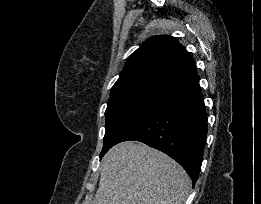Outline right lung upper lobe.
Listing matches in <instances>:
<instances>
[{"mask_svg": "<svg viewBox=\"0 0 261 204\" xmlns=\"http://www.w3.org/2000/svg\"><path fill=\"white\" fill-rule=\"evenodd\" d=\"M195 75L193 58L176 38L152 36L128 58L110 96L146 90L168 93Z\"/></svg>", "mask_w": 261, "mask_h": 204, "instance_id": "right-lung-upper-lobe-1", "label": "right lung upper lobe"}]
</instances>
